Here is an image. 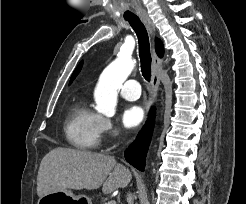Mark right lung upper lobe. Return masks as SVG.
Returning <instances> with one entry per match:
<instances>
[{
	"label": "right lung upper lobe",
	"mask_w": 246,
	"mask_h": 204,
	"mask_svg": "<svg viewBox=\"0 0 246 204\" xmlns=\"http://www.w3.org/2000/svg\"><path fill=\"white\" fill-rule=\"evenodd\" d=\"M155 47H156V52H157L158 56L159 57H162L163 56V53H164V48H163L162 42L158 38H156V40H155ZM82 63L83 62H81L78 65V67L76 68V70L72 74V77H71V80H70V84L72 83V81L74 80V78L77 76V74L80 72L81 67H82Z\"/></svg>",
	"instance_id": "obj_1"
}]
</instances>
